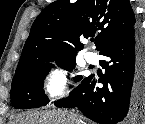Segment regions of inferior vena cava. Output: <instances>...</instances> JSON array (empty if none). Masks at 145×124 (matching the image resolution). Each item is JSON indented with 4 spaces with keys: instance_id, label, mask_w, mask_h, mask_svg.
<instances>
[{
    "instance_id": "602c4592",
    "label": "inferior vena cava",
    "mask_w": 145,
    "mask_h": 124,
    "mask_svg": "<svg viewBox=\"0 0 145 124\" xmlns=\"http://www.w3.org/2000/svg\"><path fill=\"white\" fill-rule=\"evenodd\" d=\"M78 123H81V124H83V121H81V120H80V122H78Z\"/></svg>"
}]
</instances>
